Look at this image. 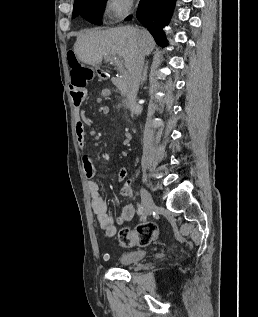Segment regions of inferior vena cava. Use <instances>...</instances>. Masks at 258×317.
<instances>
[{"label": "inferior vena cava", "instance_id": "1", "mask_svg": "<svg viewBox=\"0 0 258 317\" xmlns=\"http://www.w3.org/2000/svg\"><path fill=\"white\" fill-rule=\"evenodd\" d=\"M144 64V50L141 48L139 42H137V50L134 54L133 60L128 68V78L126 80V102L130 110H134L136 106V96L138 92V86L141 78V72Z\"/></svg>", "mask_w": 258, "mask_h": 317}]
</instances>
